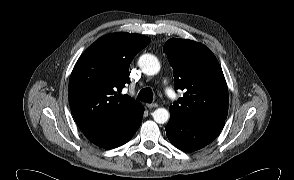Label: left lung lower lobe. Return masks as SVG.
<instances>
[{
	"mask_svg": "<svg viewBox=\"0 0 294 180\" xmlns=\"http://www.w3.org/2000/svg\"><path fill=\"white\" fill-rule=\"evenodd\" d=\"M223 125L224 122H188L170 112V120L165 130L174 146L183 151L193 152L211 143L219 135Z\"/></svg>",
	"mask_w": 294,
	"mask_h": 180,
	"instance_id": "obj_1",
	"label": "left lung lower lobe"
}]
</instances>
